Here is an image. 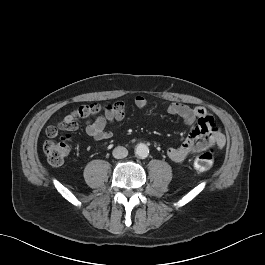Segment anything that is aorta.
<instances>
[{"instance_id": "obj_1", "label": "aorta", "mask_w": 265, "mask_h": 265, "mask_svg": "<svg viewBox=\"0 0 265 265\" xmlns=\"http://www.w3.org/2000/svg\"><path fill=\"white\" fill-rule=\"evenodd\" d=\"M135 153L140 158H146L148 156V154H149V148H148V146L146 144L139 143V144L136 145Z\"/></svg>"}]
</instances>
